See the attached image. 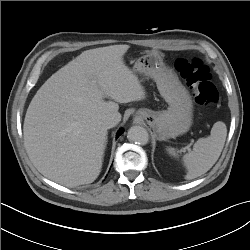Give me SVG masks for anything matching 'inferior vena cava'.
I'll return each mask as SVG.
<instances>
[{"instance_id":"1","label":"inferior vena cava","mask_w":250,"mask_h":250,"mask_svg":"<svg viewBox=\"0 0 250 250\" xmlns=\"http://www.w3.org/2000/svg\"><path fill=\"white\" fill-rule=\"evenodd\" d=\"M120 114H108L106 115L103 119H102V125L107 128L110 129L112 127H115L119 121H120Z\"/></svg>"}]
</instances>
